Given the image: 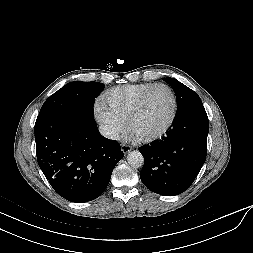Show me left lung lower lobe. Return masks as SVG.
<instances>
[{
  "label": "left lung lower lobe",
  "mask_w": 253,
  "mask_h": 253,
  "mask_svg": "<svg viewBox=\"0 0 253 253\" xmlns=\"http://www.w3.org/2000/svg\"><path fill=\"white\" fill-rule=\"evenodd\" d=\"M208 131L203 105L177 113L161 140L139 148L145 158L140 173L143 184L165 196L188 189L205 162Z\"/></svg>",
  "instance_id": "left-lung-lower-lobe-1"
}]
</instances>
